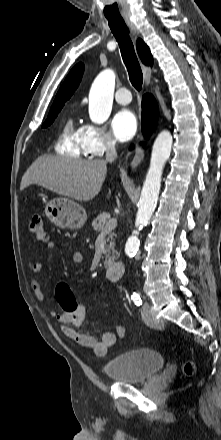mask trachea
I'll use <instances>...</instances> for the list:
<instances>
[{"label":"trachea","instance_id":"3493384b","mask_svg":"<svg viewBox=\"0 0 221 440\" xmlns=\"http://www.w3.org/2000/svg\"><path fill=\"white\" fill-rule=\"evenodd\" d=\"M109 27L116 38L121 55L127 68L129 79L136 90L140 91L143 84V74L129 36V29L123 18L107 17Z\"/></svg>","mask_w":221,"mask_h":440}]
</instances>
